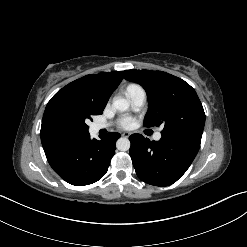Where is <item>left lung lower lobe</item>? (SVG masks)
I'll return each instance as SVG.
<instances>
[{
    "label": "left lung lower lobe",
    "instance_id": "left-lung-lower-lobe-1",
    "mask_svg": "<svg viewBox=\"0 0 247 247\" xmlns=\"http://www.w3.org/2000/svg\"><path fill=\"white\" fill-rule=\"evenodd\" d=\"M130 156L138 177L155 186H168L176 182L189 168L198 147L179 139L162 136L149 141L141 134H132Z\"/></svg>",
    "mask_w": 247,
    "mask_h": 247
}]
</instances>
